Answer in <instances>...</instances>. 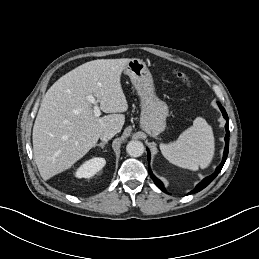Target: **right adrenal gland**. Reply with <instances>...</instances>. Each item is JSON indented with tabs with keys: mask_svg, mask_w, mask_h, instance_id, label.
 Listing matches in <instances>:
<instances>
[{
	"mask_svg": "<svg viewBox=\"0 0 259 259\" xmlns=\"http://www.w3.org/2000/svg\"><path fill=\"white\" fill-rule=\"evenodd\" d=\"M107 143H108L107 141H104V142H101V143H99V144H96L95 146H99V147H101V149H103L104 146H105Z\"/></svg>",
	"mask_w": 259,
	"mask_h": 259,
	"instance_id": "right-adrenal-gland-1",
	"label": "right adrenal gland"
}]
</instances>
